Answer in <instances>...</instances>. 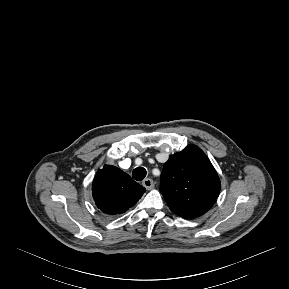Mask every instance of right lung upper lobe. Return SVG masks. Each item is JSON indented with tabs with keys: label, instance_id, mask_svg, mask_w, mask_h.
I'll list each match as a JSON object with an SVG mask.
<instances>
[{
	"label": "right lung upper lobe",
	"instance_id": "1",
	"mask_svg": "<svg viewBox=\"0 0 289 289\" xmlns=\"http://www.w3.org/2000/svg\"><path fill=\"white\" fill-rule=\"evenodd\" d=\"M97 207L106 214H121L142 197L145 188L119 168L105 164L92 184Z\"/></svg>",
	"mask_w": 289,
	"mask_h": 289
}]
</instances>
